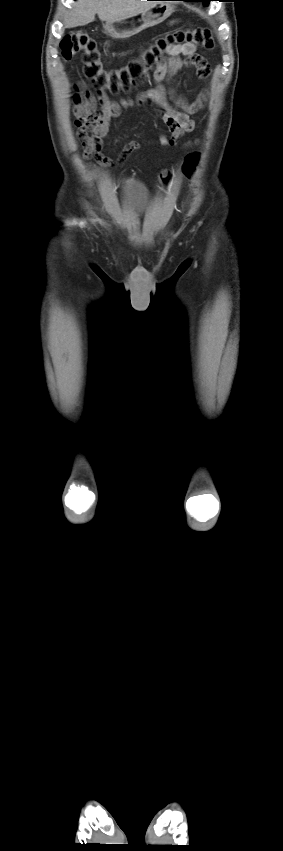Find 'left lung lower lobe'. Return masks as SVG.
I'll return each mask as SVG.
<instances>
[{"instance_id":"left-lung-lower-lobe-1","label":"left lung lower lobe","mask_w":283,"mask_h":851,"mask_svg":"<svg viewBox=\"0 0 283 851\" xmlns=\"http://www.w3.org/2000/svg\"><path fill=\"white\" fill-rule=\"evenodd\" d=\"M178 1H186V0H178ZM189 1H191V0H189Z\"/></svg>"}]
</instances>
